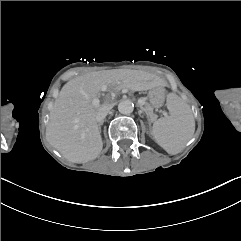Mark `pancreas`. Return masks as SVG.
I'll list each match as a JSON object with an SVG mask.
<instances>
[{
	"label": "pancreas",
	"mask_w": 241,
	"mask_h": 241,
	"mask_svg": "<svg viewBox=\"0 0 241 241\" xmlns=\"http://www.w3.org/2000/svg\"><path fill=\"white\" fill-rule=\"evenodd\" d=\"M143 110H145L146 113H148L151 118L155 116L153 114L152 107L148 103L145 104V106L143 107Z\"/></svg>",
	"instance_id": "cf45deb5"
}]
</instances>
